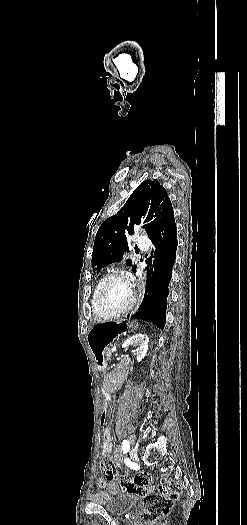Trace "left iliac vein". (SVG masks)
<instances>
[{"label": "left iliac vein", "instance_id": "obj_1", "mask_svg": "<svg viewBox=\"0 0 247 525\" xmlns=\"http://www.w3.org/2000/svg\"><path fill=\"white\" fill-rule=\"evenodd\" d=\"M136 456H137V450L135 448H131L130 450L131 459H134Z\"/></svg>", "mask_w": 247, "mask_h": 525}]
</instances>
